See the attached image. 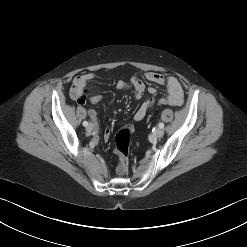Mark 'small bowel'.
<instances>
[{"instance_id": "c3829d8e", "label": "small bowel", "mask_w": 247, "mask_h": 247, "mask_svg": "<svg viewBox=\"0 0 247 247\" xmlns=\"http://www.w3.org/2000/svg\"><path fill=\"white\" fill-rule=\"evenodd\" d=\"M95 75L92 73H86L83 75L76 76L73 79L72 87L70 90V95L73 99H75L78 103L83 104L86 100L85 96V88L88 83L93 81ZM145 78L152 83L165 85L168 90V99L170 101V105L173 106H180L183 104L184 101V94L182 86L179 80L174 76L165 77L162 74L156 72H147L145 74ZM116 87L121 90H130L134 97L140 99L144 96L145 92L147 91L149 94L154 95L156 93V89L154 87H146L145 83L137 78L132 77L129 81L119 80L116 83ZM102 99L101 95H92L90 97V101L93 104L100 102ZM154 104V98L146 99L136 110L134 114L135 121H141L145 118L146 114L150 110V108ZM89 116L96 120L97 112L95 109L89 110ZM111 135L110 129H106L103 134V139L108 141Z\"/></svg>"}]
</instances>
